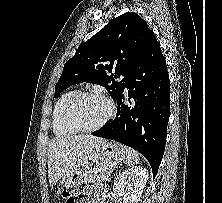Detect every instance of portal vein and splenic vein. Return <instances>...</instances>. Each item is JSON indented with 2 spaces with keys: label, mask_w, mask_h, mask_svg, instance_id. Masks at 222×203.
<instances>
[{
  "label": "portal vein and splenic vein",
  "mask_w": 222,
  "mask_h": 203,
  "mask_svg": "<svg viewBox=\"0 0 222 203\" xmlns=\"http://www.w3.org/2000/svg\"><path fill=\"white\" fill-rule=\"evenodd\" d=\"M111 165L114 167V166H115V163H112Z\"/></svg>",
  "instance_id": "18ae733b"
}]
</instances>
